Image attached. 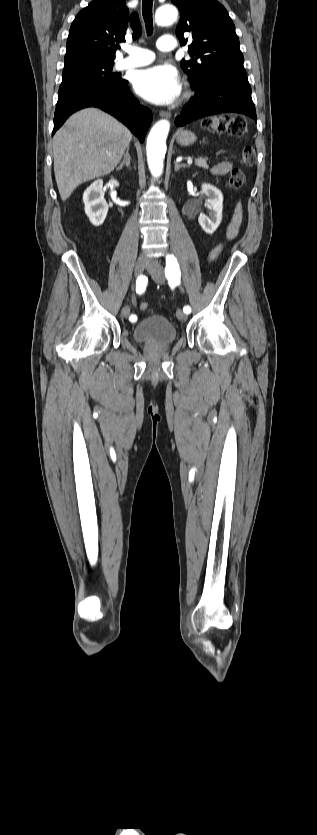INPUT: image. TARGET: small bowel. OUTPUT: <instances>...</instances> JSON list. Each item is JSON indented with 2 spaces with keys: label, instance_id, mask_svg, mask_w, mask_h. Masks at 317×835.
I'll list each match as a JSON object with an SVG mask.
<instances>
[{
  "label": "small bowel",
  "instance_id": "obj_1",
  "mask_svg": "<svg viewBox=\"0 0 317 835\" xmlns=\"http://www.w3.org/2000/svg\"><path fill=\"white\" fill-rule=\"evenodd\" d=\"M231 168H232V163L229 162V161H224V162H220V163L216 164L215 166H213L211 171L216 176H223V175H226L231 170ZM241 219H242L241 211L239 209H236V211L234 213V216H233V219H232L231 223L229 224V226L227 228V238L228 239H232L237 235L240 224H241ZM219 252H220V247L214 248L209 253L208 259L210 261H214L215 259H217L218 255H219Z\"/></svg>",
  "mask_w": 317,
  "mask_h": 835
}]
</instances>
